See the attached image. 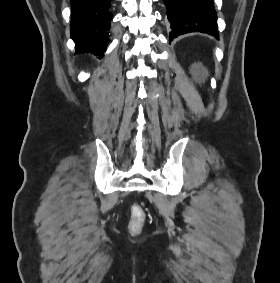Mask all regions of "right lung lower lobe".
<instances>
[{
	"mask_svg": "<svg viewBox=\"0 0 280 283\" xmlns=\"http://www.w3.org/2000/svg\"><path fill=\"white\" fill-rule=\"evenodd\" d=\"M112 0H71V38L76 53L102 55L109 42Z\"/></svg>",
	"mask_w": 280,
	"mask_h": 283,
	"instance_id": "obj_1",
	"label": "right lung lower lobe"
}]
</instances>
